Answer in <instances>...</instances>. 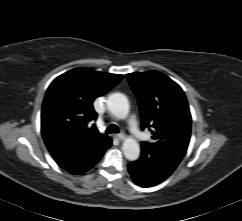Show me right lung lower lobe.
Returning <instances> with one entry per match:
<instances>
[{"label":"right lung lower lobe","mask_w":242,"mask_h":221,"mask_svg":"<svg viewBox=\"0 0 242 221\" xmlns=\"http://www.w3.org/2000/svg\"><path fill=\"white\" fill-rule=\"evenodd\" d=\"M110 146H111V142H110L109 146L107 147V149H108ZM107 149H106V150H107ZM103 154H104V153H103ZM103 154H101L99 157H97L95 160H93V162L91 163L90 167L87 168V169L84 170V171H79V172L75 173V172H72L71 170H67V169H65V170L68 171V172L71 173V174H80V173H84V172L88 171L90 168H92V167H93V166H94V165L100 160V158L102 157Z\"/></svg>","instance_id":"obj_1"}]
</instances>
